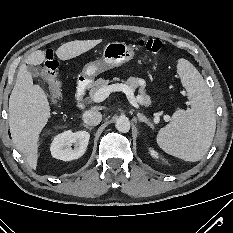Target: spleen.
<instances>
[{
    "label": "spleen",
    "instance_id": "1",
    "mask_svg": "<svg viewBox=\"0 0 233 233\" xmlns=\"http://www.w3.org/2000/svg\"><path fill=\"white\" fill-rule=\"evenodd\" d=\"M177 71L187 91L191 108L186 111L177 110L171 122L159 130L156 140L167 154L196 162L205 156L214 138V101L203 77L189 61L180 59Z\"/></svg>",
    "mask_w": 233,
    "mask_h": 233
}]
</instances>
